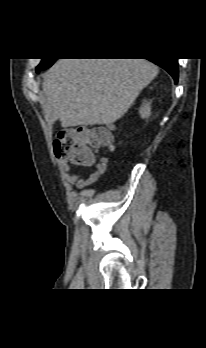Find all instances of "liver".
<instances>
[{
	"instance_id": "obj_1",
	"label": "liver",
	"mask_w": 206,
	"mask_h": 348,
	"mask_svg": "<svg viewBox=\"0 0 206 348\" xmlns=\"http://www.w3.org/2000/svg\"><path fill=\"white\" fill-rule=\"evenodd\" d=\"M158 73L147 59H59L44 74L43 92L63 127L111 124Z\"/></svg>"
}]
</instances>
